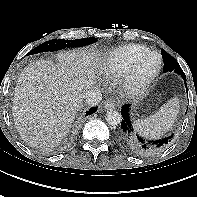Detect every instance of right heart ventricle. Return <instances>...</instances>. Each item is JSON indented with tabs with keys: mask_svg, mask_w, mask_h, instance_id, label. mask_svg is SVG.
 Instances as JSON below:
<instances>
[{
	"mask_svg": "<svg viewBox=\"0 0 197 197\" xmlns=\"http://www.w3.org/2000/svg\"><path fill=\"white\" fill-rule=\"evenodd\" d=\"M150 49L141 44H128L106 52L99 65L100 74L107 79L122 78L133 62Z\"/></svg>",
	"mask_w": 197,
	"mask_h": 197,
	"instance_id": "1",
	"label": "right heart ventricle"
}]
</instances>
